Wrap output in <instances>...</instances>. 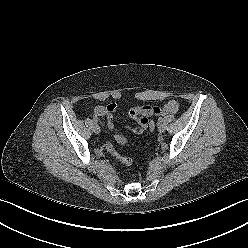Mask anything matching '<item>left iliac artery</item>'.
<instances>
[{"label":"left iliac artery","instance_id":"obj_1","mask_svg":"<svg viewBox=\"0 0 248 248\" xmlns=\"http://www.w3.org/2000/svg\"><path fill=\"white\" fill-rule=\"evenodd\" d=\"M158 121H159V123H161V122L163 121V118L160 117V118L158 119Z\"/></svg>","mask_w":248,"mask_h":248}]
</instances>
